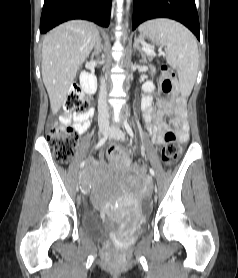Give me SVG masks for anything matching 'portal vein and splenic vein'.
<instances>
[{
    "label": "portal vein and splenic vein",
    "mask_w": 238,
    "mask_h": 278,
    "mask_svg": "<svg viewBox=\"0 0 238 278\" xmlns=\"http://www.w3.org/2000/svg\"><path fill=\"white\" fill-rule=\"evenodd\" d=\"M143 50L146 51L149 55L155 56L154 49L144 47Z\"/></svg>",
    "instance_id": "1"
}]
</instances>
